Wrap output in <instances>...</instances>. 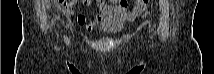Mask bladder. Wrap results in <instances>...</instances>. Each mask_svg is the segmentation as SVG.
<instances>
[{
  "label": "bladder",
  "instance_id": "obj_1",
  "mask_svg": "<svg viewBox=\"0 0 214 74\" xmlns=\"http://www.w3.org/2000/svg\"><path fill=\"white\" fill-rule=\"evenodd\" d=\"M123 27V22L117 17H109L102 21L100 28L103 32L109 34H116L120 32Z\"/></svg>",
  "mask_w": 214,
  "mask_h": 74
}]
</instances>
